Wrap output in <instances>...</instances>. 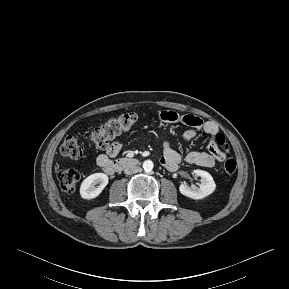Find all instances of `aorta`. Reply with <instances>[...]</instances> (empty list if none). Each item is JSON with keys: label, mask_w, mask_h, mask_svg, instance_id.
I'll return each instance as SVG.
<instances>
[{"label": "aorta", "mask_w": 289, "mask_h": 289, "mask_svg": "<svg viewBox=\"0 0 289 289\" xmlns=\"http://www.w3.org/2000/svg\"><path fill=\"white\" fill-rule=\"evenodd\" d=\"M143 169L147 172L151 171L154 167V164L151 160H146L143 162V165H142Z\"/></svg>", "instance_id": "1"}]
</instances>
